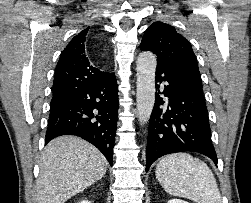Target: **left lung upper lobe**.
Here are the masks:
<instances>
[{"instance_id":"left-lung-upper-lobe-1","label":"left lung upper lobe","mask_w":251,"mask_h":203,"mask_svg":"<svg viewBox=\"0 0 251 203\" xmlns=\"http://www.w3.org/2000/svg\"><path fill=\"white\" fill-rule=\"evenodd\" d=\"M141 50L157 55V64L170 66L193 82L200 91L201 75L190 43L175 28L163 22H154L146 30L140 44Z\"/></svg>"}]
</instances>
